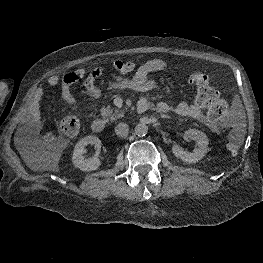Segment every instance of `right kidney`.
I'll return each mask as SVG.
<instances>
[{
	"label": "right kidney",
	"instance_id": "ca27d5eb",
	"mask_svg": "<svg viewBox=\"0 0 263 263\" xmlns=\"http://www.w3.org/2000/svg\"><path fill=\"white\" fill-rule=\"evenodd\" d=\"M88 144H91L94 146L95 149H97L96 154L89 158L85 159L83 154L85 151V146ZM101 149V141L96 136H86L78 141L74 148L73 156H72V162L75 165V167L79 168L82 171H94L99 168L101 165V161L99 160V152Z\"/></svg>",
	"mask_w": 263,
	"mask_h": 263
}]
</instances>
